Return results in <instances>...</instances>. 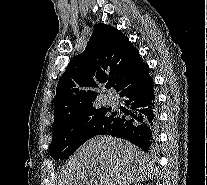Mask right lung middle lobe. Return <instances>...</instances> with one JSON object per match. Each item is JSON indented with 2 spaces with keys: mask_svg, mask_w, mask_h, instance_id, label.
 I'll return each instance as SVG.
<instances>
[{
  "mask_svg": "<svg viewBox=\"0 0 207 185\" xmlns=\"http://www.w3.org/2000/svg\"><path fill=\"white\" fill-rule=\"evenodd\" d=\"M111 108L102 107L78 115L62 125L52 128L53 138L50 154L54 160L72 155L84 142L115 119Z\"/></svg>",
  "mask_w": 207,
  "mask_h": 185,
  "instance_id": "dd1d6c3e",
  "label": "right lung middle lobe"
}]
</instances>
